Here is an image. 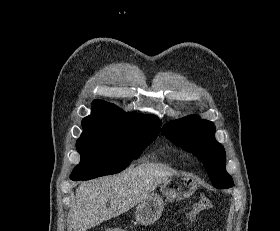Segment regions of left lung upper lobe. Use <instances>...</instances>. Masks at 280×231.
<instances>
[{
	"instance_id": "5c2ea615",
	"label": "left lung upper lobe",
	"mask_w": 280,
	"mask_h": 231,
	"mask_svg": "<svg viewBox=\"0 0 280 231\" xmlns=\"http://www.w3.org/2000/svg\"><path fill=\"white\" fill-rule=\"evenodd\" d=\"M161 134L200 159L214 187L223 189L234 185L225 169V150L214 137L212 122L188 116L166 124Z\"/></svg>"
}]
</instances>
